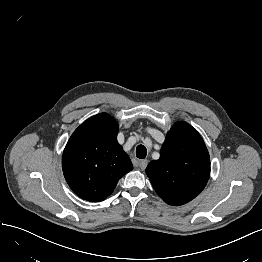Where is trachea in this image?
<instances>
[{"mask_svg":"<svg viewBox=\"0 0 262 262\" xmlns=\"http://www.w3.org/2000/svg\"><path fill=\"white\" fill-rule=\"evenodd\" d=\"M147 155V149L144 145H139L136 148V156L140 159H144Z\"/></svg>","mask_w":262,"mask_h":262,"instance_id":"obj_1","label":"trachea"}]
</instances>
